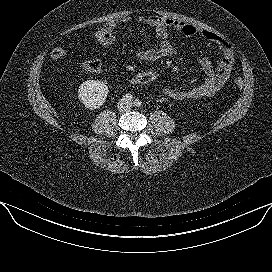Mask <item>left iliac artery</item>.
<instances>
[{"label":"left iliac artery","instance_id":"44dca946","mask_svg":"<svg viewBox=\"0 0 272 272\" xmlns=\"http://www.w3.org/2000/svg\"><path fill=\"white\" fill-rule=\"evenodd\" d=\"M134 105H135L136 107H140V106L142 105V102H141L139 99H136V100L134 101Z\"/></svg>","mask_w":272,"mask_h":272}]
</instances>
